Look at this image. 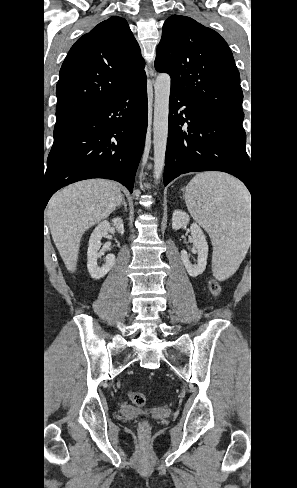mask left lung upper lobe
<instances>
[{
  "label": "left lung upper lobe",
  "instance_id": "1",
  "mask_svg": "<svg viewBox=\"0 0 297 488\" xmlns=\"http://www.w3.org/2000/svg\"><path fill=\"white\" fill-rule=\"evenodd\" d=\"M155 68L171 76V91L242 127L240 75L226 41L190 17L172 15L162 30Z\"/></svg>",
  "mask_w": 297,
  "mask_h": 488
}]
</instances>
